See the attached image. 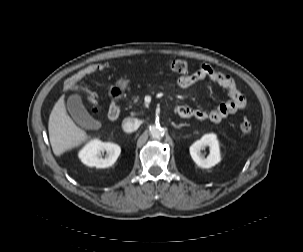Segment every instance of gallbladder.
I'll list each match as a JSON object with an SVG mask.
<instances>
[{
    "label": "gallbladder",
    "instance_id": "obj_1",
    "mask_svg": "<svg viewBox=\"0 0 303 252\" xmlns=\"http://www.w3.org/2000/svg\"><path fill=\"white\" fill-rule=\"evenodd\" d=\"M68 111L73 120L82 128H88L92 123V117L82 103L81 97L77 94L69 97L67 102Z\"/></svg>",
    "mask_w": 303,
    "mask_h": 252
}]
</instances>
